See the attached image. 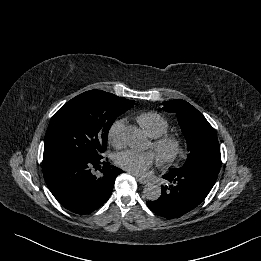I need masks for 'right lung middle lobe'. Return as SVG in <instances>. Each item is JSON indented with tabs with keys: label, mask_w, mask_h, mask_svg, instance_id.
I'll return each instance as SVG.
<instances>
[{
	"label": "right lung middle lobe",
	"mask_w": 261,
	"mask_h": 261,
	"mask_svg": "<svg viewBox=\"0 0 261 261\" xmlns=\"http://www.w3.org/2000/svg\"><path fill=\"white\" fill-rule=\"evenodd\" d=\"M134 101L105 92H84L52 117L44 140L43 159L62 155H100L115 119Z\"/></svg>",
	"instance_id": "right-lung-middle-lobe-1"
}]
</instances>
